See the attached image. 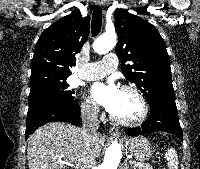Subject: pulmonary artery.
<instances>
[{"label":"pulmonary artery","instance_id":"obj_1","mask_svg":"<svg viewBox=\"0 0 200 169\" xmlns=\"http://www.w3.org/2000/svg\"><path fill=\"white\" fill-rule=\"evenodd\" d=\"M118 59L115 54H108L97 62L86 65L79 76L85 80H96L106 76L117 68Z\"/></svg>","mask_w":200,"mask_h":169}]
</instances>
